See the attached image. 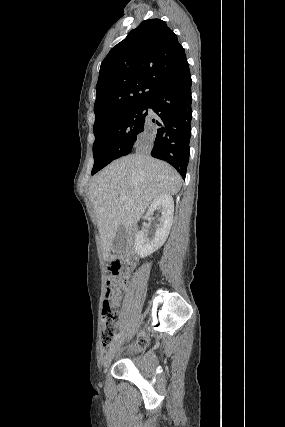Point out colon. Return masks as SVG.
Returning a JSON list of instances; mask_svg holds the SVG:
<instances>
[{
    "instance_id": "1",
    "label": "colon",
    "mask_w": 285,
    "mask_h": 427,
    "mask_svg": "<svg viewBox=\"0 0 285 427\" xmlns=\"http://www.w3.org/2000/svg\"><path fill=\"white\" fill-rule=\"evenodd\" d=\"M131 268L130 260L121 256L114 257L110 264L102 309L101 339L103 345L109 344L116 334L120 319L117 308L122 301Z\"/></svg>"
}]
</instances>
